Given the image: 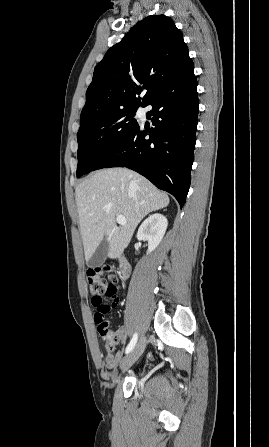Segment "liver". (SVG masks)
I'll return each mask as SVG.
<instances>
[{"instance_id":"1","label":"liver","mask_w":269,"mask_h":447,"mask_svg":"<svg viewBox=\"0 0 269 447\" xmlns=\"http://www.w3.org/2000/svg\"><path fill=\"white\" fill-rule=\"evenodd\" d=\"M75 194L86 261L104 237L109 257H120L142 218L170 202L165 192L126 168L98 170L76 186ZM116 216L127 224L116 225Z\"/></svg>"}]
</instances>
